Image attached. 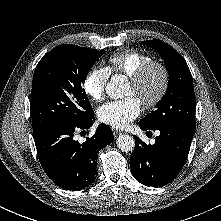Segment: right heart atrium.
<instances>
[{
	"instance_id": "1",
	"label": "right heart atrium",
	"mask_w": 221,
	"mask_h": 221,
	"mask_svg": "<svg viewBox=\"0 0 221 221\" xmlns=\"http://www.w3.org/2000/svg\"><path fill=\"white\" fill-rule=\"evenodd\" d=\"M109 77L110 71L107 67L94 65L89 69L83 82V89L92 101L104 98Z\"/></svg>"
}]
</instances>
